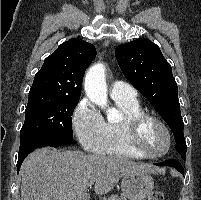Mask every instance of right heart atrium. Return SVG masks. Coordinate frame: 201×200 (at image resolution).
<instances>
[{
	"mask_svg": "<svg viewBox=\"0 0 201 200\" xmlns=\"http://www.w3.org/2000/svg\"><path fill=\"white\" fill-rule=\"evenodd\" d=\"M104 119L88 99H83L72 115V126L82 147L98 153L103 146Z\"/></svg>",
	"mask_w": 201,
	"mask_h": 200,
	"instance_id": "1",
	"label": "right heart atrium"
}]
</instances>
